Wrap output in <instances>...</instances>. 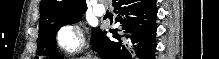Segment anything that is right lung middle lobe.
<instances>
[{
  "label": "right lung middle lobe",
  "instance_id": "1",
  "mask_svg": "<svg viewBox=\"0 0 219 59\" xmlns=\"http://www.w3.org/2000/svg\"><path fill=\"white\" fill-rule=\"evenodd\" d=\"M82 17L81 15L73 16L67 19L51 22L46 26L39 28L37 56H50L51 59H62L63 57L54 52L56 43L55 34L57 31L66 24L76 23ZM98 29L92 30V37L90 43L94 42ZM36 56V59L38 57Z\"/></svg>",
  "mask_w": 219,
  "mask_h": 59
}]
</instances>
